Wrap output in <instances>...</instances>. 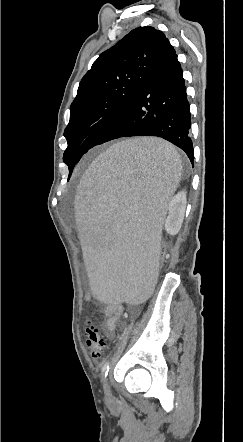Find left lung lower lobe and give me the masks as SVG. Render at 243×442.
Wrapping results in <instances>:
<instances>
[{
  "label": "left lung lower lobe",
  "mask_w": 243,
  "mask_h": 442,
  "mask_svg": "<svg viewBox=\"0 0 243 442\" xmlns=\"http://www.w3.org/2000/svg\"><path fill=\"white\" fill-rule=\"evenodd\" d=\"M190 128L182 69L168 42L132 101L98 145L121 137L156 136L181 148L193 164Z\"/></svg>",
  "instance_id": "1"
}]
</instances>
